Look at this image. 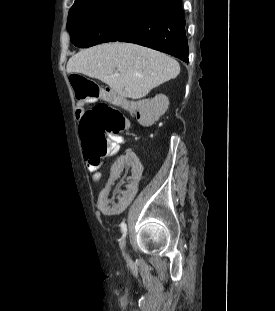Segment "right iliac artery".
<instances>
[{"mask_svg": "<svg viewBox=\"0 0 275 311\" xmlns=\"http://www.w3.org/2000/svg\"><path fill=\"white\" fill-rule=\"evenodd\" d=\"M120 227H121V231H122V233H123V237H125V236H126V233H127V225H126V223L122 222V223L120 224Z\"/></svg>", "mask_w": 275, "mask_h": 311, "instance_id": "obj_1", "label": "right iliac artery"}]
</instances>
